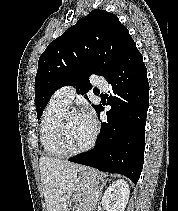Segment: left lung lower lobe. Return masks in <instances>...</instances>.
Listing matches in <instances>:
<instances>
[{"label": "left lung lower lobe", "instance_id": "left-lung-lower-lobe-1", "mask_svg": "<svg viewBox=\"0 0 178 211\" xmlns=\"http://www.w3.org/2000/svg\"><path fill=\"white\" fill-rule=\"evenodd\" d=\"M111 84L107 95V122L94 149L76 155L71 162L122 174L134 183L140 177L144 162L145 125L149 106L147 69L136 45L124 60L106 77ZM103 107L96 110L99 115Z\"/></svg>", "mask_w": 178, "mask_h": 211}]
</instances>
